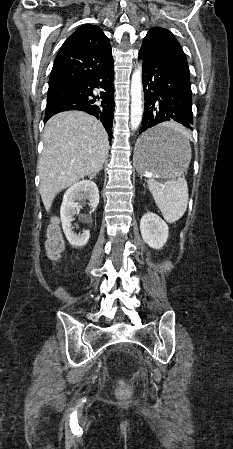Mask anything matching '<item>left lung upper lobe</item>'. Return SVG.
<instances>
[{
	"label": "left lung upper lobe",
	"mask_w": 233,
	"mask_h": 449,
	"mask_svg": "<svg viewBox=\"0 0 233 449\" xmlns=\"http://www.w3.org/2000/svg\"><path fill=\"white\" fill-rule=\"evenodd\" d=\"M142 50L148 55L189 77L186 55L175 36L164 28H152L143 39Z\"/></svg>",
	"instance_id": "left-lung-upper-lobe-1"
}]
</instances>
